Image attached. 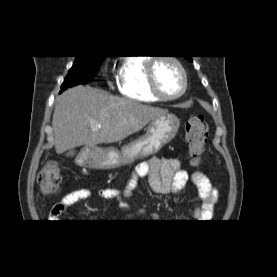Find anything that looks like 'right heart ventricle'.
<instances>
[{
	"label": "right heart ventricle",
	"instance_id": "e07e8e85",
	"mask_svg": "<svg viewBox=\"0 0 277 277\" xmlns=\"http://www.w3.org/2000/svg\"><path fill=\"white\" fill-rule=\"evenodd\" d=\"M148 61L145 56H130L122 61L118 70V86L121 95L139 102L159 101L148 86Z\"/></svg>",
	"mask_w": 277,
	"mask_h": 277
}]
</instances>
